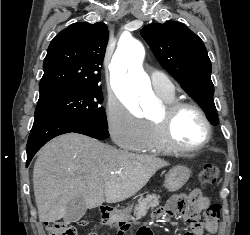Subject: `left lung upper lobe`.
I'll return each mask as SVG.
<instances>
[{
  "label": "left lung upper lobe",
  "instance_id": "5c2ea615",
  "mask_svg": "<svg viewBox=\"0 0 250 235\" xmlns=\"http://www.w3.org/2000/svg\"><path fill=\"white\" fill-rule=\"evenodd\" d=\"M141 36L162 67L198 103L209 121L217 125L211 62L201 38L177 21L147 25L141 30Z\"/></svg>",
  "mask_w": 250,
  "mask_h": 235
}]
</instances>
